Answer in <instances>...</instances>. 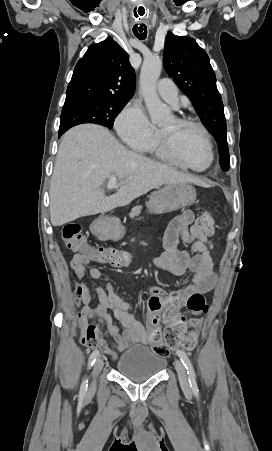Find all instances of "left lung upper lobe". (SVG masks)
Here are the masks:
<instances>
[{
	"label": "left lung upper lobe",
	"mask_w": 272,
	"mask_h": 451,
	"mask_svg": "<svg viewBox=\"0 0 272 451\" xmlns=\"http://www.w3.org/2000/svg\"><path fill=\"white\" fill-rule=\"evenodd\" d=\"M164 68L194 103L200 120L218 142L221 168L228 171L230 162L223 103L207 53L194 39L169 33L165 40Z\"/></svg>",
	"instance_id": "5c2ea615"
}]
</instances>
